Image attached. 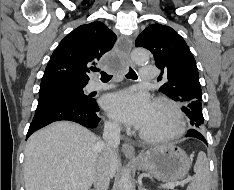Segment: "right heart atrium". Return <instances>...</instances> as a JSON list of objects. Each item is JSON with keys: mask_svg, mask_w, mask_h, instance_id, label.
Masks as SVG:
<instances>
[{"mask_svg": "<svg viewBox=\"0 0 234 190\" xmlns=\"http://www.w3.org/2000/svg\"><path fill=\"white\" fill-rule=\"evenodd\" d=\"M109 128H110L111 130H117V129H118L117 125H115V124H113V123H110V124H109Z\"/></svg>", "mask_w": 234, "mask_h": 190, "instance_id": "1", "label": "right heart atrium"}]
</instances>
